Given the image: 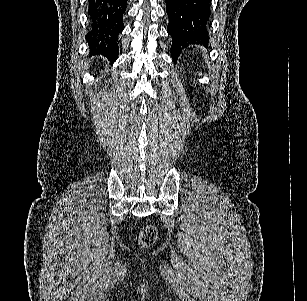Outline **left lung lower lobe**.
<instances>
[{
    "label": "left lung lower lobe",
    "mask_w": 307,
    "mask_h": 301,
    "mask_svg": "<svg viewBox=\"0 0 307 301\" xmlns=\"http://www.w3.org/2000/svg\"><path fill=\"white\" fill-rule=\"evenodd\" d=\"M171 35V54L174 61L182 49L190 44L209 42L210 0H166Z\"/></svg>",
    "instance_id": "left-lung-lower-lobe-1"
}]
</instances>
